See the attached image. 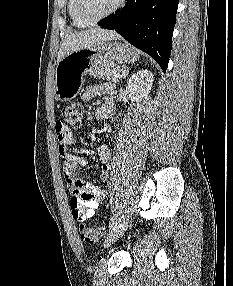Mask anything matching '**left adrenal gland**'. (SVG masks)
Wrapping results in <instances>:
<instances>
[{
    "mask_svg": "<svg viewBox=\"0 0 233 286\" xmlns=\"http://www.w3.org/2000/svg\"><path fill=\"white\" fill-rule=\"evenodd\" d=\"M128 73H129V69L124 70V72L122 73V78H123V79L126 78V76L128 75Z\"/></svg>",
    "mask_w": 233,
    "mask_h": 286,
    "instance_id": "a2214340",
    "label": "left adrenal gland"
}]
</instances>
